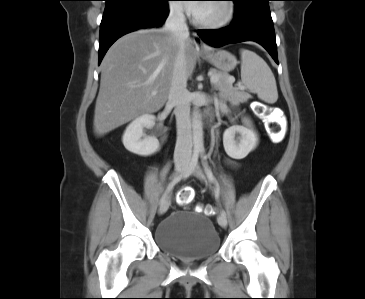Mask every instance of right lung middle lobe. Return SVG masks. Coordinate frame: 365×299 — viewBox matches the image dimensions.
I'll list each match as a JSON object with an SVG mask.
<instances>
[{
	"mask_svg": "<svg viewBox=\"0 0 365 299\" xmlns=\"http://www.w3.org/2000/svg\"><path fill=\"white\" fill-rule=\"evenodd\" d=\"M105 1H106V5H107V4L115 3L118 1H127V0H105ZM150 1H158V0H150Z\"/></svg>",
	"mask_w": 365,
	"mask_h": 299,
	"instance_id": "1",
	"label": "right lung middle lobe"
}]
</instances>
